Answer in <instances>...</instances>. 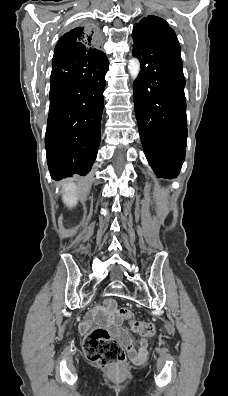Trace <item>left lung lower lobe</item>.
Returning <instances> with one entry per match:
<instances>
[{"mask_svg": "<svg viewBox=\"0 0 228 396\" xmlns=\"http://www.w3.org/2000/svg\"><path fill=\"white\" fill-rule=\"evenodd\" d=\"M141 71L134 107L145 155L158 177L179 174L187 142L185 78L180 48L150 37L133 38Z\"/></svg>", "mask_w": 228, "mask_h": 396, "instance_id": "obj_1", "label": "left lung lower lobe"}]
</instances>
